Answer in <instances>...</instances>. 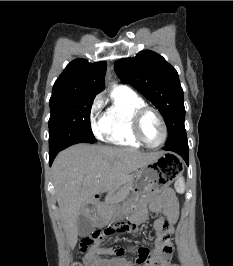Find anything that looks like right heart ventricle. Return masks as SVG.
<instances>
[{"label": "right heart ventricle", "mask_w": 233, "mask_h": 266, "mask_svg": "<svg viewBox=\"0 0 233 266\" xmlns=\"http://www.w3.org/2000/svg\"><path fill=\"white\" fill-rule=\"evenodd\" d=\"M143 105V98L131 88L114 87L110 93L109 106L103 116L104 139L114 145L141 147L132 132V118L134 112Z\"/></svg>", "instance_id": "e07e8e85"}]
</instances>
